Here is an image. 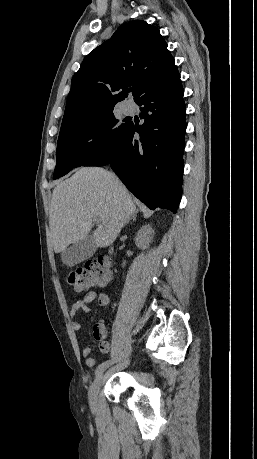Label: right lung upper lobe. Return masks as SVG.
<instances>
[{"mask_svg": "<svg viewBox=\"0 0 257 459\" xmlns=\"http://www.w3.org/2000/svg\"><path fill=\"white\" fill-rule=\"evenodd\" d=\"M178 73L159 30L145 21L120 26L72 78L60 133L114 108L132 86L135 102Z\"/></svg>", "mask_w": 257, "mask_h": 459, "instance_id": "right-lung-upper-lobe-1", "label": "right lung upper lobe"}]
</instances>
